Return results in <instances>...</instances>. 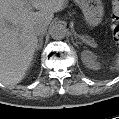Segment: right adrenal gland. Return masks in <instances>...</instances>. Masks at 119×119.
<instances>
[{"label":"right adrenal gland","instance_id":"1","mask_svg":"<svg viewBox=\"0 0 119 119\" xmlns=\"http://www.w3.org/2000/svg\"><path fill=\"white\" fill-rule=\"evenodd\" d=\"M43 45V36L39 37L38 49H41Z\"/></svg>","mask_w":119,"mask_h":119}]
</instances>
